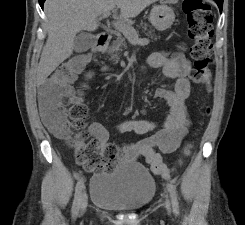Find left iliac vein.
Returning <instances> with one entry per match:
<instances>
[{"label": "left iliac vein", "instance_id": "left-iliac-vein-1", "mask_svg": "<svg viewBox=\"0 0 245 225\" xmlns=\"http://www.w3.org/2000/svg\"><path fill=\"white\" fill-rule=\"evenodd\" d=\"M166 207H167V209L169 210V208H170V203L167 201L166 202Z\"/></svg>", "mask_w": 245, "mask_h": 225}]
</instances>
